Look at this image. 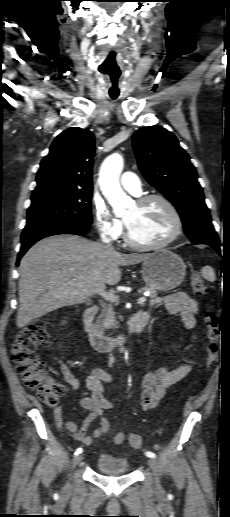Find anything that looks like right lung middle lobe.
<instances>
[{"mask_svg":"<svg viewBox=\"0 0 230 517\" xmlns=\"http://www.w3.org/2000/svg\"><path fill=\"white\" fill-rule=\"evenodd\" d=\"M92 190L55 193L31 199L27 225L43 221H69L91 225Z\"/></svg>","mask_w":230,"mask_h":517,"instance_id":"obj_1","label":"right lung middle lobe"}]
</instances>
